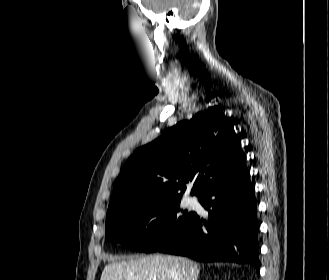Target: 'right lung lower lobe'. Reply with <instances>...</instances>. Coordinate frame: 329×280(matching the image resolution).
Listing matches in <instances>:
<instances>
[{
	"label": "right lung lower lobe",
	"instance_id": "98d812e1",
	"mask_svg": "<svg viewBox=\"0 0 329 280\" xmlns=\"http://www.w3.org/2000/svg\"><path fill=\"white\" fill-rule=\"evenodd\" d=\"M199 202L209 212L208 222L196 214L180 234L156 251L203 262L246 263L259 272L257 209L246 164L210 184Z\"/></svg>",
	"mask_w": 329,
	"mask_h": 280
}]
</instances>
